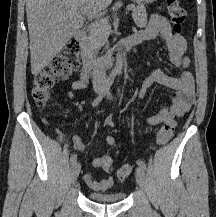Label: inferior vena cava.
<instances>
[{"instance_id":"1","label":"inferior vena cava","mask_w":216,"mask_h":217,"mask_svg":"<svg viewBox=\"0 0 216 217\" xmlns=\"http://www.w3.org/2000/svg\"><path fill=\"white\" fill-rule=\"evenodd\" d=\"M107 81L106 72L102 61L98 58L94 62V68L92 72V82L94 88H101L105 85Z\"/></svg>"}]
</instances>
